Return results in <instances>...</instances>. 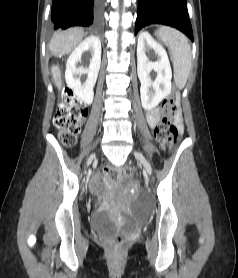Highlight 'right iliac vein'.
Wrapping results in <instances>:
<instances>
[{
	"label": "right iliac vein",
	"mask_w": 238,
	"mask_h": 278,
	"mask_svg": "<svg viewBox=\"0 0 238 278\" xmlns=\"http://www.w3.org/2000/svg\"><path fill=\"white\" fill-rule=\"evenodd\" d=\"M86 169H89V166H86Z\"/></svg>",
	"instance_id": "right-iliac-vein-1"
}]
</instances>
